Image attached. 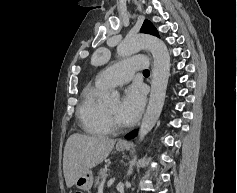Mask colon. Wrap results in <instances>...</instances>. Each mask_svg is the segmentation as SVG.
<instances>
[{
	"label": "colon",
	"instance_id": "5ec220e1",
	"mask_svg": "<svg viewBox=\"0 0 237 193\" xmlns=\"http://www.w3.org/2000/svg\"><path fill=\"white\" fill-rule=\"evenodd\" d=\"M75 193H82V192H80V191H77V192H75Z\"/></svg>",
	"mask_w": 237,
	"mask_h": 193
}]
</instances>
